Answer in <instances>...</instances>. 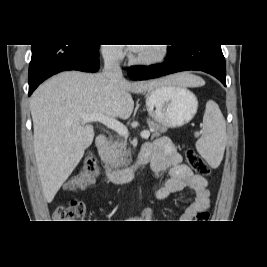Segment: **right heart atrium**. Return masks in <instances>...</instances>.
I'll list each match as a JSON object with an SVG mask.
<instances>
[{"label": "right heart atrium", "mask_w": 267, "mask_h": 267, "mask_svg": "<svg viewBox=\"0 0 267 267\" xmlns=\"http://www.w3.org/2000/svg\"><path fill=\"white\" fill-rule=\"evenodd\" d=\"M104 56L109 60H117L121 57V48L117 46H104L103 49Z\"/></svg>", "instance_id": "right-heart-atrium-1"}]
</instances>
